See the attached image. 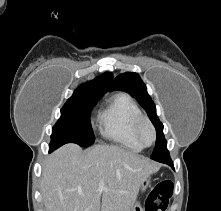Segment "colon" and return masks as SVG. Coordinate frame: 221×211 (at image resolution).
<instances>
[{"mask_svg": "<svg viewBox=\"0 0 221 211\" xmlns=\"http://www.w3.org/2000/svg\"><path fill=\"white\" fill-rule=\"evenodd\" d=\"M172 194L173 183L171 181L156 184L147 197L145 211H165Z\"/></svg>", "mask_w": 221, "mask_h": 211, "instance_id": "colon-1", "label": "colon"}]
</instances>
